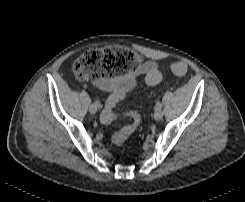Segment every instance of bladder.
Wrapping results in <instances>:
<instances>
[{
    "label": "bladder",
    "instance_id": "31cf9c89",
    "mask_svg": "<svg viewBox=\"0 0 245 202\" xmlns=\"http://www.w3.org/2000/svg\"><path fill=\"white\" fill-rule=\"evenodd\" d=\"M135 89V80L134 79H121L117 85V90L121 91L125 96L131 93Z\"/></svg>",
    "mask_w": 245,
    "mask_h": 202
}]
</instances>
